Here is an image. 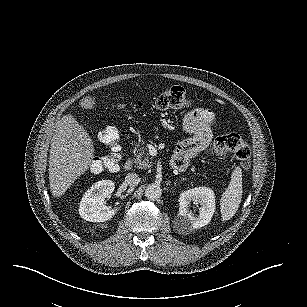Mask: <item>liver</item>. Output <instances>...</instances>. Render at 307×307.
I'll use <instances>...</instances> for the list:
<instances>
[{"label":"liver","mask_w":307,"mask_h":307,"mask_svg":"<svg viewBox=\"0 0 307 307\" xmlns=\"http://www.w3.org/2000/svg\"><path fill=\"white\" fill-rule=\"evenodd\" d=\"M79 105L92 109L95 99L86 96ZM94 151L93 141L84 127L73 115L63 116L51 139L49 154V184L53 197L64 195L74 181L85 174L94 157Z\"/></svg>","instance_id":"1"}]
</instances>
